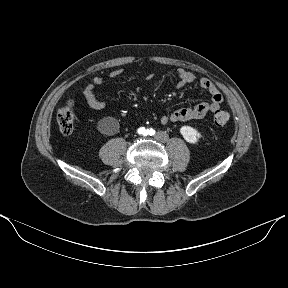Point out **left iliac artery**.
I'll use <instances>...</instances> for the list:
<instances>
[{"label": "left iliac artery", "mask_w": 288, "mask_h": 288, "mask_svg": "<svg viewBox=\"0 0 288 288\" xmlns=\"http://www.w3.org/2000/svg\"><path fill=\"white\" fill-rule=\"evenodd\" d=\"M148 134H149L150 136L154 135V134H155V130L152 129V128H150V129L148 130Z\"/></svg>", "instance_id": "44dca946"}]
</instances>
